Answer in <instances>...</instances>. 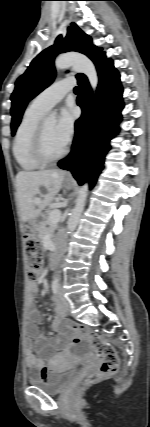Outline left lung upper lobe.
<instances>
[{"label": "left lung upper lobe", "instance_id": "1", "mask_svg": "<svg viewBox=\"0 0 150 427\" xmlns=\"http://www.w3.org/2000/svg\"><path fill=\"white\" fill-rule=\"evenodd\" d=\"M77 51L87 55L95 64L104 55L101 48L92 44L91 38L86 35L75 23L68 28L66 37L59 35L53 46L43 50L33 59L26 72L16 81V87L11 95V130L15 133L27 103L48 87L54 80L55 56L62 52ZM77 74V79L84 77Z\"/></svg>", "mask_w": 150, "mask_h": 427}]
</instances>
